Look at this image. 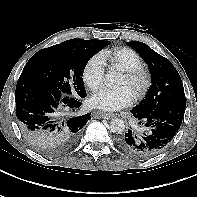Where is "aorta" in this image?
<instances>
[{"label":"aorta","mask_w":197,"mask_h":197,"mask_svg":"<svg viewBox=\"0 0 197 197\" xmlns=\"http://www.w3.org/2000/svg\"><path fill=\"white\" fill-rule=\"evenodd\" d=\"M106 79L110 83H119L121 80V75H120V73H118L116 71H110L106 75ZM110 130H111V132L116 133V134L123 133V131L125 130L124 121L122 119H118V118L111 120Z\"/></svg>","instance_id":"762f6f07"}]
</instances>
